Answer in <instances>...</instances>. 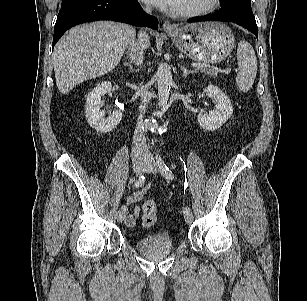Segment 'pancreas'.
I'll return each mask as SVG.
<instances>
[{
    "instance_id": "1",
    "label": "pancreas",
    "mask_w": 307,
    "mask_h": 301,
    "mask_svg": "<svg viewBox=\"0 0 307 301\" xmlns=\"http://www.w3.org/2000/svg\"><path fill=\"white\" fill-rule=\"evenodd\" d=\"M201 72H204L206 73L207 75H210V76H213V77H217L218 75V70L215 69V68H212V69H202Z\"/></svg>"
}]
</instances>
